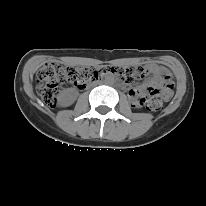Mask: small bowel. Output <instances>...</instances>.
Returning a JSON list of instances; mask_svg holds the SVG:
<instances>
[{"instance_id": "1", "label": "small bowel", "mask_w": 206, "mask_h": 206, "mask_svg": "<svg viewBox=\"0 0 206 206\" xmlns=\"http://www.w3.org/2000/svg\"><path fill=\"white\" fill-rule=\"evenodd\" d=\"M150 70L153 73L155 79H159V78H161L163 76L168 75L167 69L162 67V66L152 65ZM144 90H145V87L142 86V87H140L138 89L130 88L128 92H129V95L132 98V100L134 102H136L138 96H140L143 93Z\"/></svg>"}]
</instances>
